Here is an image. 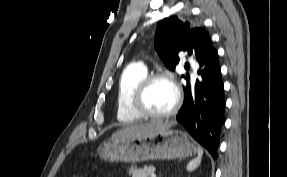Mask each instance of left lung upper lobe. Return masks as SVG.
<instances>
[{
    "mask_svg": "<svg viewBox=\"0 0 287 177\" xmlns=\"http://www.w3.org/2000/svg\"><path fill=\"white\" fill-rule=\"evenodd\" d=\"M156 50L167 68L174 71L178 64L180 51L194 54L197 61L208 54L212 46L208 32L203 28H192L187 21H181L177 16L165 18L157 25ZM186 79L185 76H182Z\"/></svg>",
    "mask_w": 287,
    "mask_h": 177,
    "instance_id": "left-lung-upper-lobe-1",
    "label": "left lung upper lobe"
}]
</instances>
